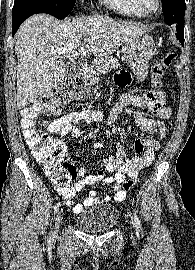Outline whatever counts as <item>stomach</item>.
<instances>
[{"mask_svg": "<svg viewBox=\"0 0 195 270\" xmlns=\"http://www.w3.org/2000/svg\"><path fill=\"white\" fill-rule=\"evenodd\" d=\"M124 58L137 79L142 81L148 73V64L154 55L155 43L146 33L137 34L125 41Z\"/></svg>", "mask_w": 195, "mask_h": 270, "instance_id": "1", "label": "stomach"}]
</instances>
